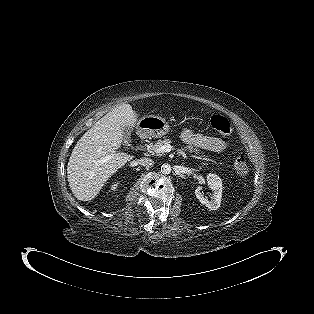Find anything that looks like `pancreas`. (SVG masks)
Wrapping results in <instances>:
<instances>
[{
	"mask_svg": "<svg viewBox=\"0 0 314 314\" xmlns=\"http://www.w3.org/2000/svg\"><path fill=\"white\" fill-rule=\"evenodd\" d=\"M169 143H171V141L168 139V138H163L162 140H158L156 143H150L148 146H147V149L148 150H150L151 152H155V153H157L156 152V150L160 147V146H162V145H164V144H169ZM158 155H162L161 153H157ZM202 165L204 166V165H207V163L206 162H203L202 163Z\"/></svg>",
	"mask_w": 314,
	"mask_h": 314,
	"instance_id": "pancreas-1",
	"label": "pancreas"
}]
</instances>
